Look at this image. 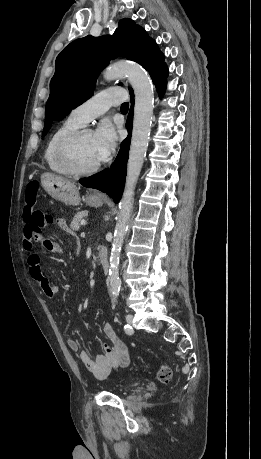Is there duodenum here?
I'll use <instances>...</instances> for the list:
<instances>
[{"label":"duodenum","instance_id":"obj_1","mask_svg":"<svg viewBox=\"0 0 261 459\" xmlns=\"http://www.w3.org/2000/svg\"><path fill=\"white\" fill-rule=\"evenodd\" d=\"M97 258L104 272H107L109 268V262H108L107 250L103 246L98 247Z\"/></svg>","mask_w":261,"mask_h":459}]
</instances>
